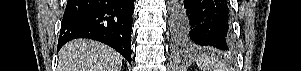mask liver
Here are the masks:
<instances>
[{"instance_id":"6515ba94","label":"liver","mask_w":301,"mask_h":71,"mask_svg":"<svg viewBox=\"0 0 301 71\" xmlns=\"http://www.w3.org/2000/svg\"><path fill=\"white\" fill-rule=\"evenodd\" d=\"M122 59L105 44L76 39L59 51L58 71H120Z\"/></svg>"}]
</instances>
